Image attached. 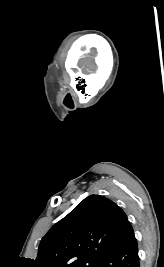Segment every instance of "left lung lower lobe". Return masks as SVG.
Returning a JSON list of instances; mask_svg holds the SVG:
<instances>
[{
	"mask_svg": "<svg viewBox=\"0 0 164 267\" xmlns=\"http://www.w3.org/2000/svg\"><path fill=\"white\" fill-rule=\"evenodd\" d=\"M98 267H139L137 241L129 222L109 247Z\"/></svg>",
	"mask_w": 164,
	"mask_h": 267,
	"instance_id": "left-lung-lower-lobe-1",
	"label": "left lung lower lobe"
}]
</instances>
